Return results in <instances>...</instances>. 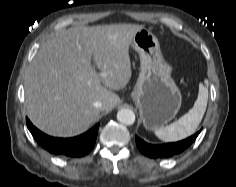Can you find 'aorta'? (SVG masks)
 Masks as SVG:
<instances>
[{"label": "aorta", "mask_w": 236, "mask_h": 187, "mask_svg": "<svg viewBox=\"0 0 236 187\" xmlns=\"http://www.w3.org/2000/svg\"><path fill=\"white\" fill-rule=\"evenodd\" d=\"M117 120L124 125H132L135 122V114L132 110L123 108L118 111Z\"/></svg>", "instance_id": "aorta-1"}]
</instances>
